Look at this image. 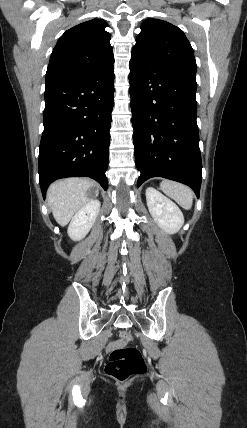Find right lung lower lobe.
I'll return each mask as SVG.
<instances>
[{
    "label": "right lung lower lobe",
    "instance_id": "1",
    "mask_svg": "<svg viewBox=\"0 0 247 428\" xmlns=\"http://www.w3.org/2000/svg\"><path fill=\"white\" fill-rule=\"evenodd\" d=\"M114 59L81 77L46 85L39 152L40 187L64 177L108 182L109 130L114 105Z\"/></svg>",
    "mask_w": 247,
    "mask_h": 428
}]
</instances>
